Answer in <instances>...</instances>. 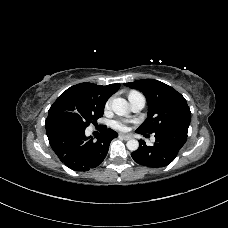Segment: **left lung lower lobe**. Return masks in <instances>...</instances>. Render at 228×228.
Wrapping results in <instances>:
<instances>
[{"label":"left lung lower lobe","instance_id":"left-lung-lower-lobe-1","mask_svg":"<svg viewBox=\"0 0 228 228\" xmlns=\"http://www.w3.org/2000/svg\"><path fill=\"white\" fill-rule=\"evenodd\" d=\"M187 132L188 127L186 126H171L160 130L155 133L156 142L153 146H147L141 140L139 148L131 153V156L136 163L146 167H165L176 158L179 150L185 144Z\"/></svg>","mask_w":228,"mask_h":228}]
</instances>
